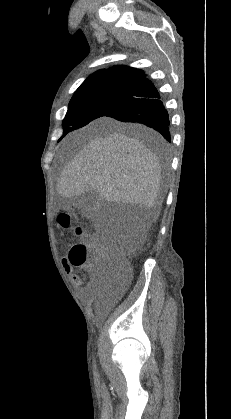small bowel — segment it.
<instances>
[{"label":"small bowel","instance_id":"obj_1","mask_svg":"<svg viewBox=\"0 0 231 419\" xmlns=\"http://www.w3.org/2000/svg\"><path fill=\"white\" fill-rule=\"evenodd\" d=\"M63 266H64V268H66L68 270L73 268L72 265L69 264L68 261L65 260V259L63 260ZM71 279L75 284L81 285L85 281V275L84 274H72Z\"/></svg>","mask_w":231,"mask_h":419}]
</instances>
